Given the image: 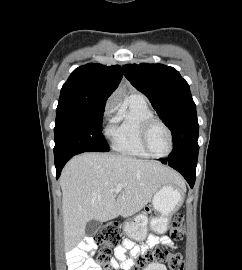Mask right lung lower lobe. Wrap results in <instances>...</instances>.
<instances>
[{"instance_id":"right-lung-lower-lobe-1","label":"right lung lower lobe","mask_w":242,"mask_h":270,"mask_svg":"<svg viewBox=\"0 0 242 270\" xmlns=\"http://www.w3.org/2000/svg\"><path fill=\"white\" fill-rule=\"evenodd\" d=\"M74 155H70L67 157H64L60 160L55 161V167H56V171H57V178L60 176V173L62 171V168L64 167V165L66 164V162L71 159Z\"/></svg>"}]
</instances>
